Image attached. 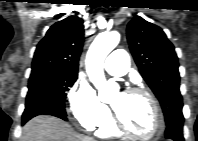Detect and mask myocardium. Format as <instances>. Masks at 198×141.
<instances>
[{
	"mask_svg": "<svg viewBox=\"0 0 198 141\" xmlns=\"http://www.w3.org/2000/svg\"><path fill=\"white\" fill-rule=\"evenodd\" d=\"M127 93L139 94V95H143L146 98H148V100L150 101V103L153 107L155 128H154V131L148 136L138 135V134L132 132L131 130H129L122 123L117 112L115 110H113V123H114V126L116 127V129L119 132H122L123 134H125L131 138H134L137 140H142V141H152V140L156 139L157 137H159V135L161 134L162 129H163V116H162V111H161L160 105H159L157 99L155 98V96L148 90H146L144 88H140V87L130 88L127 91Z\"/></svg>",
	"mask_w": 198,
	"mask_h": 141,
	"instance_id": "f54148a6",
	"label": "myocardium"
}]
</instances>
